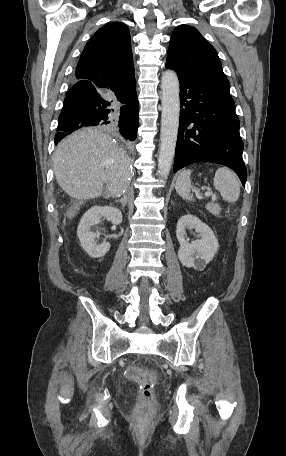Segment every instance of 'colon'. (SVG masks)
<instances>
[{
  "instance_id": "colon-1",
  "label": "colon",
  "mask_w": 286,
  "mask_h": 456,
  "mask_svg": "<svg viewBox=\"0 0 286 456\" xmlns=\"http://www.w3.org/2000/svg\"><path fill=\"white\" fill-rule=\"evenodd\" d=\"M126 376L140 386L139 403L136 408V413L140 415L148 413L155 403L154 385L157 381L156 374L138 366L131 365L126 369Z\"/></svg>"
}]
</instances>
